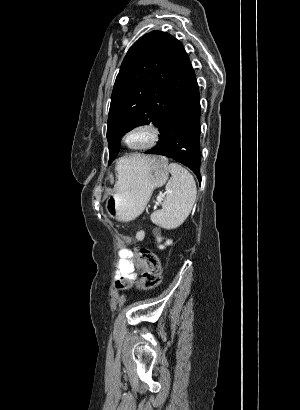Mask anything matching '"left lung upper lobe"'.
I'll use <instances>...</instances> for the list:
<instances>
[{
	"instance_id": "obj_1",
	"label": "left lung upper lobe",
	"mask_w": 300,
	"mask_h": 410,
	"mask_svg": "<svg viewBox=\"0 0 300 410\" xmlns=\"http://www.w3.org/2000/svg\"><path fill=\"white\" fill-rule=\"evenodd\" d=\"M193 67L182 45L166 32L152 31L128 50L117 75L108 114L109 163L120 138L136 126L161 120L182 94Z\"/></svg>"
}]
</instances>
